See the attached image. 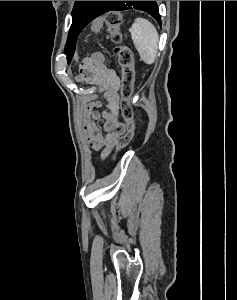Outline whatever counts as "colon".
Masks as SVG:
<instances>
[{
    "mask_svg": "<svg viewBox=\"0 0 237 300\" xmlns=\"http://www.w3.org/2000/svg\"><path fill=\"white\" fill-rule=\"evenodd\" d=\"M122 22L123 17L121 12L113 10L107 12L104 16L95 19L91 25L93 32L100 31L103 26L107 27L112 41L116 44L115 54L121 68L122 86L120 109L126 124V131L117 141V152H120L131 142L135 131L134 113L130 104V97L133 92L135 81L134 55L128 46L121 44L122 36L120 33V26ZM86 60L92 65H103L105 63L104 56L99 53L90 55Z\"/></svg>",
    "mask_w": 237,
    "mask_h": 300,
    "instance_id": "obj_1",
    "label": "colon"
}]
</instances>
